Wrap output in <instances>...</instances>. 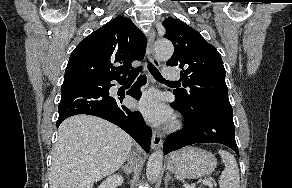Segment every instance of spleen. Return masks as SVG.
<instances>
[{
  "instance_id": "spleen-1",
  "label": "spleen",
  "mask_w": 292,
  "mask_h": 188,
  "mask_svg": "<svg viewBox=\"0 0 292 188\" xmlns=\"http://www.w3.org/2000/svg\"><path fill=\"white\" fill-rule=\"evenodd\" d=\"M225 168L219 177L220 188H240L239 169L234 156L228 151L219 150Z\"/></svg>"
}]
</instances>
